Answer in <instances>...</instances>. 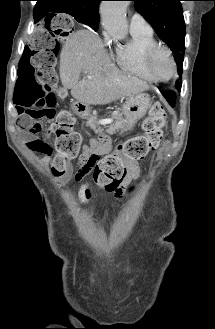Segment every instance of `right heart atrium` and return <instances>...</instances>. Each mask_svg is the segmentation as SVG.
<instances>
[{"instance_id":"right-heart-atrium-1","label":"right heart atrium","mask_w":215,"mask_h":329,"mask_svg":"<svg viewBox=\"0 0 215 329\" xmlns=\"http://www.w3.org/2000/svg\"><path fill=\"white\" fill-rule=\"evenodd\" d=\"M105 36V40L108 41L109 40V37L107 34L104 35Z\"/></svg>"}]
</instances>
